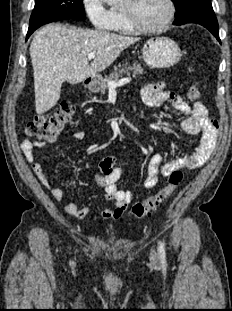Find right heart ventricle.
I'll return each instance as SVG.
<instances>
[{"label": "right heart ventricle", "instance_id": "e07e8e85", "mask_svg": "<svg viewBox=\"0 0 232 311\" xmlns=\"http://www.w3.org/2000/svg\"><path fill=\"white\" fill-rule=\"evenodd\" d=\"M112 12L114 16V21L109 30L119 34H132L134 31L127 23L123 9L120 7H113Z\"/></svg>", "mask_w": 232, "mask_h": 311}]
</instances>
